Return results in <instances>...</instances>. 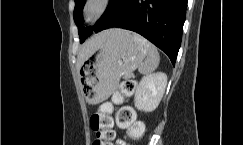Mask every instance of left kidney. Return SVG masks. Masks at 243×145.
<instances>
[{
    "instance_id": "5707ae66",
    "label": "left kidney",
    "mask_w": 243,
    "mask_h": 145,
    "mask_svg": "<svg viewBox=\"0 0 243 145\" xmlns=\"http://www.w3.org/2000/svg\"><path fill=\"white\" fill-rule=\"evenodd\" d=\"M166 85L165 73L158 72L144 76L135 91V107L145 112L154 111L163 97Z\"/></svg>"
}]
</instances>
